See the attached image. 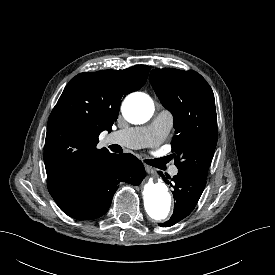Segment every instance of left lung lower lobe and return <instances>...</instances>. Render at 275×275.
Returning a JSON list of instances; mask_svg holds the SVG:
<instances>
[{"label": "left lung lower lobe", "mask_w": 275, "mask_h": 275, "mask_svg": "<svg viewBox=\"0 0 275 275\" xmlns=\"http://www.w3.org/2000/svg\"><path fill=\"white\" fill-rule=\"evenodd\" d=\"M159 174L174 189L172 193L176 203L173 215L164 224H159L162 227H169L192 212L204 190L207 177L190 170H178V174L168 181L161 171ZM167 178L170 179L168 176Z\"/></svg>", "instance_id": "left-lung-lower-lobe-1"}]
</instances>
